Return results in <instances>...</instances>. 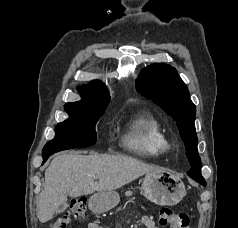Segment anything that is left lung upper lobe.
<instances>
[{
    "label": "left lung upper lobe",
    "instance_id": "1",
    "mask_svg": "<svg viewBox=\"0 0 238 228\" xmlns=\"http://www.w3.org/2000/svg\"><path fill=\"white\" fill-rule=\"evenodd\" d=\"M136 89L176 120L191 165L187 174L201 177V160L197 150L194 124L196 108L189 97L187 86L175 68L162 63L144 68L136 80Z\"/></svg>",
    "mask_w": 238,
    "mask_h": 228
}]
</instances>
